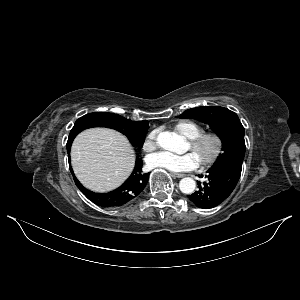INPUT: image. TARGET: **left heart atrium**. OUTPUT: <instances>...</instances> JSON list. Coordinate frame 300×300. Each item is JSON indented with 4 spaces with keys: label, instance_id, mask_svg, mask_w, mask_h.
<instances>
[{
    "label": "left heart atrium",
    "instance_id": "39dd6f15",
    "mask_svg": "<svg viewBox=\"0 0 300 300\" xmlns=\"http://www.w3.org/2000/svg\"><path fill=\"white\" fill-rule=\"evenodd\" d=\"M147 164L151 168H161L171 172L191 171L198 166V162L192 153L174 155L167 152L150 155L147 158Z\"/></svg>",
    "mask_w": 300,
    "mask_h": 300
}]
</instances>
